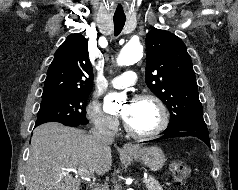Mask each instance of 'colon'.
<instances>
[{"label":"colon","mask_w":238,"mask_h":190,"mask_svg":"<svg viewBox=\"0 0 238 190\" xmlns=\"http://www.w3.org/2000/svg\"><path fill=\"white\" fill-rule=\"evenodd\" d=\"M169 172L175 183L182 184L190 176L191 168L181 161H175L171 163Z\"/></svg>","instance_id":"5ec220e1"}]
</instances>
